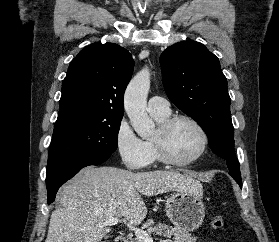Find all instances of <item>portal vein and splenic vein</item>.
Wrapping results in <instances>:
<instances>
[{
  "label": "portal vein and splenic vein",
  "mask_w": 279,
  "mask_h": 242,
  "mask_svg": "<svg viewBox=\"0 0 279 242\" xmlns=\"http://www.w3.org/2000/svg\"><path fill=\"white\" fill-rule=\"evenodd\" d=\"M121 222L126 224V220L124 219L120 220L119 218H110L103 223V226L117 225L118 223ZM127 226L131 231L135 233L136 237L139 238L142 242H153V238L146 231L139 229L130 223H128ZM163 242H171V241L166 240Z\"/></svg>",
  "instance_id": "1"
}]
</instances>
